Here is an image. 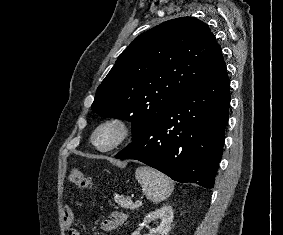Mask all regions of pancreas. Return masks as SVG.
<instances>
[{
  "label": "pancreas",
  "instance_id": "cf45deb5",
  "mask_svg": "<svg viewBox=\"0 0 283 235\" xmlns=\"http://www.w3.org/2000/svg\"><path fill=\"white\" fill-rule=\"evenodd\" d=\"M114 200L119 206L125 209L134 210L140 207L138 203H133L130 198H125L119 195H115Z\"/></svg>",
  "mask_w": 283,
  "mask_h": 235
}]
</instances>
